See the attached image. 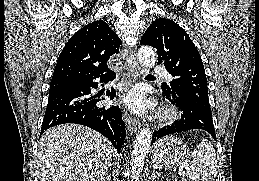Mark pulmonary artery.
I'll return each instance as SVG.
<instances>
[{"instance_id": "1", "label": "pulmonary artery", "mask_w": 259, "mask_h": 181, "mask_svg": "<svg viewBox=\"0 0 259 181\" xmlns=\"http://www.w3.org/2000/svg\"><path fill=\"white\" fill-rule=\"evenodd\" d=\"M152 70H153L155 73L161 74V75H162L163 77H165L167 80H172V76H171L169 73H167L163 67H160V66H153Z\"/></svg>"}]
</instances>
